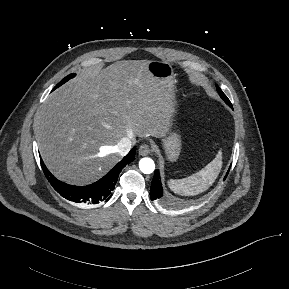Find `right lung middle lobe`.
Returning <instances> with one entry per match:
<instances>
[{
	"label": "right lung middle lobe",
	"instance_id": "dd1d6c3e",
	"mask_svg": "<svg viewBox=\"0 0 289 289\" xmlns=\"http://www.w3.org/2000/svg\"><path fill=\"white\" fill-rule=\"evenodd\" d=\"M74 76H75V74H70V75H68V76L65 77L61 82H59V83L56 85L55 88L61 86V85L64 84L66 81H68L69 79L73 78ZM55 88H54V89H55ZM54 89H53V90H54Z\"/></svg>",
	"mask_w": 289,
	"mask_h": 289
}]
</instances>
